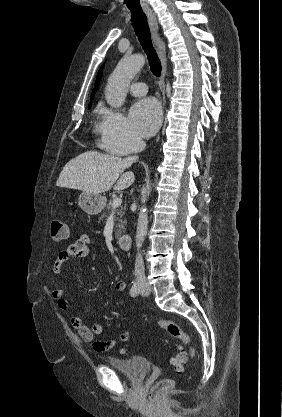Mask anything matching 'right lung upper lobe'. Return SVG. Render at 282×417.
<instances>
[{
	"label": "right lung upper lobe",
	"instance_id": "right-lung-upper-lobe-1",
	"mask_svg": "<svg viewBox=\"0 0 282 417\" xmlns=\"http://www.w3.org/2000/svg\"><path fill=\"white\" fill-rule=\"evenodd\" d=\"M103 67H104V65L101 67V69L99 70V72L97 74V78H96V82H95V88L93 89L92 95H94L96 89L99 86V82H100V79H101V76H102V69H103Z\"/></svg>",
	"mask_w": 282,
	"mask_h": 417
}]
</instances>
